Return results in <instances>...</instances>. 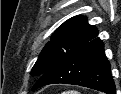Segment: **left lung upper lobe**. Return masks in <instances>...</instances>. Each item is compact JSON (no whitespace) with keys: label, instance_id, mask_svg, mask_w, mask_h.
<instances>
[{"label":"left lung upper lobe","instance_id":"5c2ea615","mask_svg":"<svg viewBox=\"0 0 121 94\" xmlns=\"http://www.w3.org/2000/svg\"><path fill=\"white\" fill-rule=\"evenodd\" d=\"M97 36V28L89 25L86 17L74 16L68 19L53 33L51 41L43 48L30 74L41 76L62 58Z\"/></svg>","mask_w":121,"mask_h":94}]
</instances>
